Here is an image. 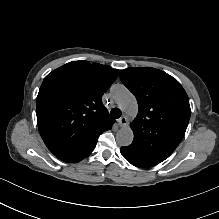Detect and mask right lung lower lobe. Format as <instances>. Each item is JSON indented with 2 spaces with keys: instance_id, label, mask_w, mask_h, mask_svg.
<instances>
[{
  "instance_id": "right-lung-lower-lobe-1",
  "label": "right lung lower lobe",
  "mask_w": 219,
  "mask_h": 219,
  "mask_svg": "<svg viewBox=\"0 0 219 219\" xmlns=\"http://www.w3.org/2000/svg\"><path fill=\"white\" fill-rule=\"evenodd\" d=\"M93 150H94V148L89 150V151H87V152L80 153V154L59 155V156H56V157H58L59 159H61L62 161H65V162H73V163H75V162H79L82 159H84L87 156H89Z\"/></svg>"
}]
</instances>
